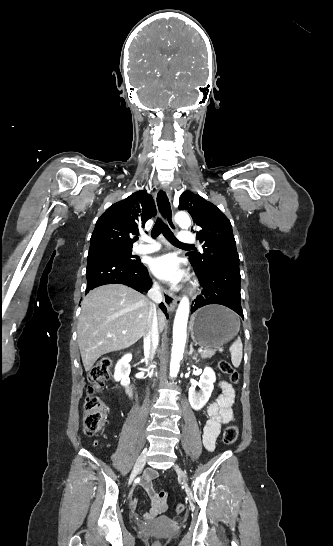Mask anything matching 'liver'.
<instances>
[{
	"label": "liver",
	"instance_id": "liver-1",
	"mask_svg": "<svg viewBox=\"0 0 333 546\" xmlns=\"http://www.w3.org/2000/svg\"><path fill=\"white\" fill-rule=\"evenodd\" d=\"M81 308L78 345L89 371L102 355L127 348L146 334L152 302L125 285L108 284L90 291ZM164 324V314L158 311L159 328Z\"/></svg>",
	"mask_w": 333,
	"mask_h": 546
}]
</instances>
